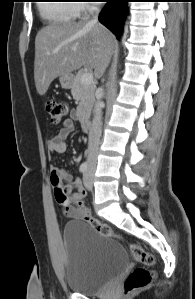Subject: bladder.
<instances>
[{
    "label": "bladder",
    "instance_id": "obj_1",
    "mask_svg": "<svg viewBox=\"0 0 195 299\" xmlns=\"http://www.w3.org/2000/svg\"><path fill=\"white\" fill-rule=\"evenodd\" d=\"M64 279L69 290L90 295L127 268L124 248L82 220L67 222L63 231Z\"/></svg>",
    "mask_w": 195,
    "mask_h": 299
}]
</instances>
